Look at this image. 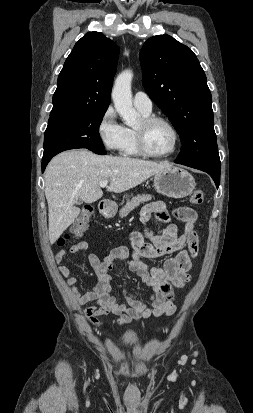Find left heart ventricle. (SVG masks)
<instances>
[{
	"mask_svg": "<svg viewBox=\"0 0 253 413\" xmlns=\"http://www.w3.org/2000/svg\"><path fill=\"white\" fill-rule=\"evenodd\" d=\"M140 125V122L137 126ZM146 142L150 151L165 153L173 145V134L170 128L161 122L150 125L146 130Z\"/></svg>",
	"mask_w": 253,
	"mask_h": 413,
	"instance_id": "obj_1",
	"label": "left heart ventricle"
}]
</instances>
